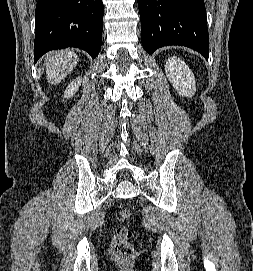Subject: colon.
<instances>
[{
    "label": "colon",
    "mask_w": 253,
    "mask_h": 271,
    "mask_svg": "<svg viewBox=\"0 0 253 271\" xmlns=\"http://www.w3.org/2000/svg\"><path fill=\"white\" fill-rule=\"evenodd\" d=\"M132 214L129 209H123L119 212V226L112 238L111 249L116 259L120 261H129L134 254L131 241L134 237L133 231L126 226L131 220Z\"/></svg>",
    "instance_id": "5ec220e1"
}]
</instances>
